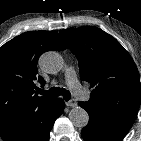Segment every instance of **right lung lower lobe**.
<instances>
[{"mask_svg":"<svg viewBox=\"0 0 141 141\" xmlns=\"http://www.w3.org/2000/svg\"><path fill=\"white\" fill-rule=\"evenodd\" d=\"M64 105L60 98H53L45 107L16 116L0 129L1 138L3 141H48Z\"/></svg>","mask_w":141,"mask_h":141,"instance_id":"obj_1","label":"right lung lower lobe"}]
</instances>
